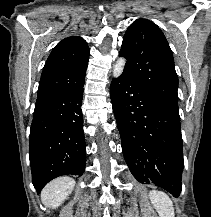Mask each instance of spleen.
<instances>
[{
	"mask_svg": "<svg viewBox=\"0 0 211 217\" xmlns=\"http://www.w3.org/2000/svg\"><path fill=\"white\" fill-rule=\"evenodd\" d=\"M149 198L159 217H175L173 202L166 193L153 190L149 192Z\"/></svg>",
	"mask_w": 211,
	"mask_h": 217,
	"instance_id": "spleen-1",
	"label": "spleen"
}]
</instances>
